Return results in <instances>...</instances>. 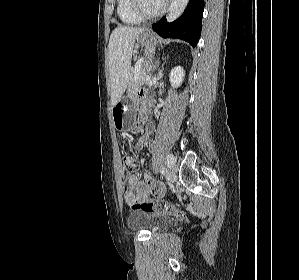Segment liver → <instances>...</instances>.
I'll return each mask as SVG.
<instances>
[{"label":"liver","instance_id":"obj_1","mask_svg":"<svg viewBox=\"0 0 299 280\" xmlns=\"http://www.w3.org/2000/svg\"><path fill=\"white\" fill-rule=\"evenodd\" d=\"M146 28L118 26L109 39L111 106L121 99L130 80L131 59L135 40Z\"/></svg>","mask_w":299,"mask_h":280}]
</instances>
